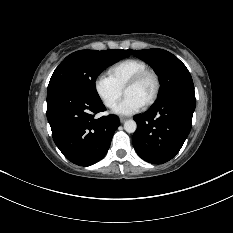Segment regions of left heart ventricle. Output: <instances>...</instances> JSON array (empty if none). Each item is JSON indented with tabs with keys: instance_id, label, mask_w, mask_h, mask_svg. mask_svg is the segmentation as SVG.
I'll return each mask as SVG.
<instances>
[{
	"instance_id": "b2bd125f",
	"label": "left heart ventricle",
	"mask_w": 233,
	"mask_h": 233,
	"mask_svg": "<svg viewBox=\"0 0 233 233\" xmlns=\"http://www.w3.org/2000/svg\"><path fill=\"white\" fill-rule=\"evenodd\" d=\"M154 87V79L152 77H147L138 85L128 88L124 94L125 96L135 97L143 104H145L153 94Z\"/></svg>"
}]
</instances>
